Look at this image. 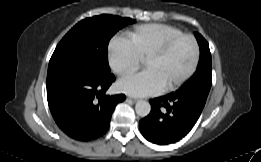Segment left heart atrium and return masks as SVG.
Here are the masks:
<instances>
[{"label": "left heart atrium", "mask_w": 261, "mask_h": 162, "mask_svg": "<svg viewBox=\"0 0 261 162\" xmlns=\"http://www.w3.org/2000/svg\"><path fill=\"white\" fill-rule=\"evenodd\" d=\"M117 85L120 91L132 96L154 95L164 88L160 77L152 69L122 77Z\"/></svg>", "instance_id": "1"}]
</instances>
